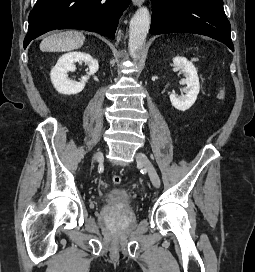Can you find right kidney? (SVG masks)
I'll use <instances>...</instances> for the list:
<instances>
[{
  "label": "right kidney",
  "mask_w": 255,
  "mask_h": 272,
  "mask_svg": "<svg viewBox=\"0 0 255 272\" xmlns=\"http://www.w3.org/2000/svg\"><path fill=\"white\" fill-rule=\"evenodd\" d=\"M76 62H84L89 67V72L83 76L80 82L68 78V72L76 69ZM98 61L84 52H70L62 55L50 73L54 88L61 94L72 95L80 93L89 77L98 71Z\"/></svg>",
  "instance_id": "obj_1"
}]
</instances>
